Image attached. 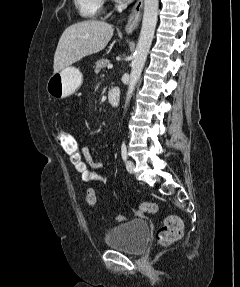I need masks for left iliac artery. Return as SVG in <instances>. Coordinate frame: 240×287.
<instances>
[{
  "label": "left iliac artery",
  "instance_id": "44dca946",
  "mask_svg": "<svg viewBox=\"0 0 240 287\" xmlns=\"http://www.w3.org/2000/svg\"><path fill=\"white\" fill-rule=\"evenodd\" d=\"M121 155H122V159L124 161H126V159H127V149H126L125 142H123L122 146H121Z\"/></svg>",
  "mask_w": 240,
  "mask_h": 287
}]
</instances>
